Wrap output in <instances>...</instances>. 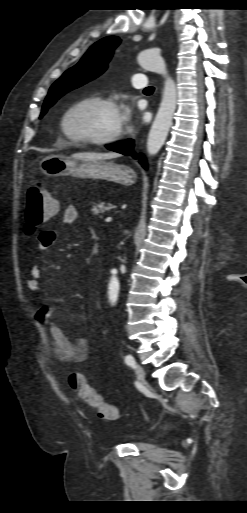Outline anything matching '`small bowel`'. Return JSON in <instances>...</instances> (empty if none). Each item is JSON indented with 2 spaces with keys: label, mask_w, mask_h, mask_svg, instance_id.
Here are the masks:
<instances>
[{
  "label": "small bowel",
  "mask_w": 247,
  "mask_h": 513,
  "mask_svg": "<svg viewBox=\"0 0 247 513\" xmlns=\"http://www.w3.org/2000/svg\"><path fill=\"white\" fill-rule=\"evenodd\" d=\"M78 219V210L75 206L69 205L62 215L64 224H72ZM58 233L50 228L42 229L37 235L38 252L50 248L57 240ZM42 267L38 264L32 265L28 270L26 288L30 292H36L40 288ZM57 308L42 304L35 312L36 320L49 332L52 339V350L55 358L65 364L83 362L88 357V341L84 337L70 338L56 321Z\"/></svg>",
  "instance_id": "obj_1"
}]
</instances>
